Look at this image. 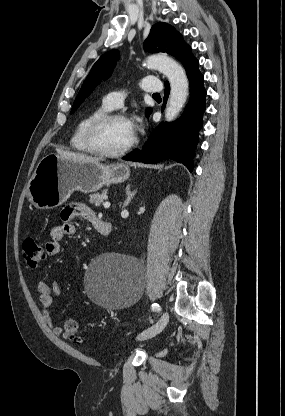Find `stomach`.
Here are the masks:
<instances>
[{"label":"stomach","mask_w":285,"mask_h":416,"mask_svg":"<svg viewBox=\"0 0 285 416\" xmlns=\"http://www.w3.org/2000/svg\"><path fill=\"white\" fill-rule=\"evenodd\" d=\"M130 176L126 164L104 166L100 162L66 160L48 154L40 160L27 186L29 202L39 210L62 206L72 192H97L103 186L121 184Z\"/></svg>","instance_id":"stomach-1"}]
</instances>
